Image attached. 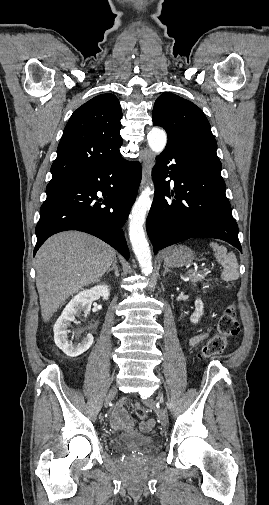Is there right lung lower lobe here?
<instances>
[{"instance_id":"right-lung-lower-lobe-1","label":"right lung lower lobe","mask_w":269,"mask_h":505,"mask_svg":"<svg viewBox=\"0 0 269 505\" xmlns=\"http://www.w3.org/2000/svg\"><path fill=\"white\" fill-rule=\"evenodd\" d=\"M141 175L139 162L125 161L120 155L72 177L49 182L35 229L34 255L51 235L78 230L100 238L128 260L120 227L135 201ZM98 191L103 198L97 196Z\"/></svg>"}]
</instances>
